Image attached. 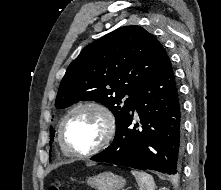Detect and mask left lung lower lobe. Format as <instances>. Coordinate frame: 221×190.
Wrapping results in <instances>:
<instances>
[{"label":"left lung lower lobe","instance_id":"left-lung-lower-lobe-1","mask_svg":"<svg viewBox=\"0 0 221 190\" xmlns=\"http://www.w3.org/2000/svg\"><path fill=\"white\" fill-rule=\"evenodd\" d=\"M134 111L140 119L132 124ZM181 103L169 57L138 90L112 144L90 159L170 176L181 172Z\"/></svg>","mask_w":221,"mask_h":190}]
</instances>
